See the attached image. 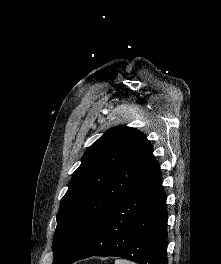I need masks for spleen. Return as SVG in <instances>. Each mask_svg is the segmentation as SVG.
<instances>
[{
  "label": "spleen",
  "instance_id": "spleen-1",
  "mask_svg": "<svg viewBox=\"0 0 221 264\" xmlns=\"http://www.w3.org/2000/svg\"><path fill=\"white\" fill-rule=\"evenodd\" d=\"M115 264H136L131 261L125 260V259H116Z\"/></svg>",
  "mask_w": 221,
  "mask_h": 264
}]
</instances>
